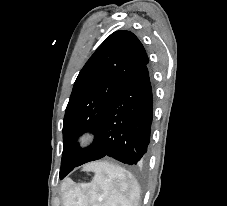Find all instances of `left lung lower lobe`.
<instances>
[{
    "label": "left lung lower lobe",
    "mask_w": 227,
    "mask_h": 206,
    "mask_svg": "<svg viewBox=\"0 0 227 206\" xmlns=\"http://www.w3.org/2000/svg\"><path fill=\"white\" fill-rule=\"evenodd\" d=\"M153 119V96L147 64L130 77L109 104L94 143L75 167L106 156L137 164L148 151Z\"/></svg>",
    "instance_id": "1"
}]
</instances>
